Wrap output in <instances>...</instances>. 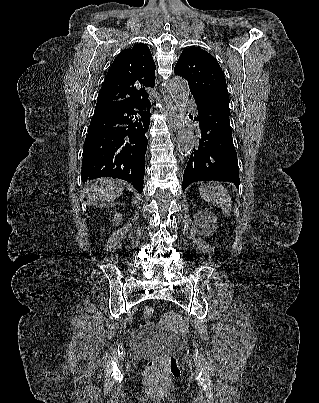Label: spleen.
I'll return each instance as SVG.
<instances>
[{"label": "spleen", "mask_w": 319, "mask_h": 403, "mask_svg": "<svg viewBox=\"0 0 319 403\" xmlns=\"http://www.w3.org/2000/svg\"><path fill=\"white\" fill-rule=\"evenodd\" d=\"M200 196L207 202H210L221 208L225 216L231 213L232 201L226 188L221 184L211 182L199 187Z\"/></svg>", "instance_id": "3e777b00"}]
</instances>
